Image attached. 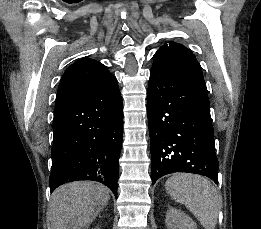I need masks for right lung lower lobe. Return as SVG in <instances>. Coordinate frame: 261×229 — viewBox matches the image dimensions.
<instances>
[{"label":"right lung lower lobe","mask_w":261,"mask_h":229,"mask_svg":"<svg viewBox=\"0 0 261 229\" xmlns=\"http://www.w3.org/2000/svg\"><path fill=\"white\" fill-rule=\"evenodd\" d=\"M53 131L50 190L91 180L106 185L117 197L123 108L115 77L56 113Z\"/></svg>","instance_id":"98d812e1"}]
</instances>
